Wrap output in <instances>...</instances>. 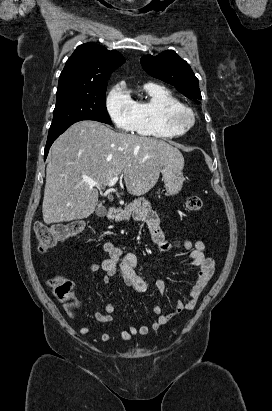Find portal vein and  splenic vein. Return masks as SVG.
<instances>
[{
  "mask_svg": "<svg viewBox=\"0 0 272 411\" xmlns=\"http://www.w3.org/2000/svg\"><path fill=\"white\" fill-rule=\"evenodd\" d=\"M118 180H119V177H118V176H116V177H114V178H112V179L110 180V182H109V184H108V187H109L108 191H111V190H112L111 187L114 186V185L118 182ZM88 183H89L91 186H96L97 188H100V187H101V185L98 184V183H96V182L88 181Z\"/></svg>",
  "mask_w": 272,
  "mask_h": 411,
  "instance_id": "portal-vein-and-splenic-vein-1",
  "label": "portal vein and splenic vein"
}]
</instances>
